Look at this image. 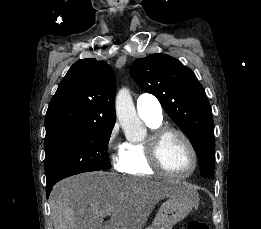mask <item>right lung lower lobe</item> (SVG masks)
Here are the masks:
<instances>
[{"label": "right lung lower lobe", "mask_w": 261, "mask_h": 229, "mask_svg": "<svg viewBox=\"0 0 261 229\" xmlns=\"http://www.w3.org/2000/svg\"><path fill=\"white\" fill-rule=\"evenodd\" d=\"M53 186H54V184H53V185H50V186H47V190H46V196H47V198L49 197V194H50V192H51Z\"/></svg>", "instance_id": "obj_1"}]
</instances>
